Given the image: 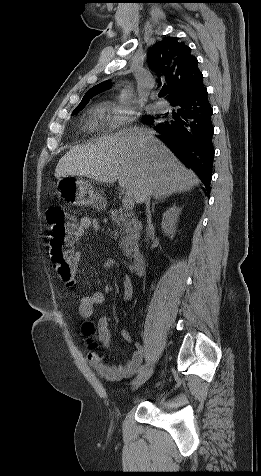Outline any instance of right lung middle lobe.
<instances>
[{
    "label": "right lung middle lobe",
    "mask_w": 261,
    "mask_h": 476,
    "mask_svg": "<svg viewBox=\"0 0 261 476\" xmlns=\"http://www.w3.org/2000/svg\"><path fill=\"white\" fill-rule=\"evenodd\" d=\"M84 106H85V105H82V106H80V107H77V108L73 111L72 114L77 113V112L80 111ZM145 119H146L147 121H149V122H150V121H153V118H151V117H145Z\"/></svg>",
    "instance_id": "1"
}]
</instances>
